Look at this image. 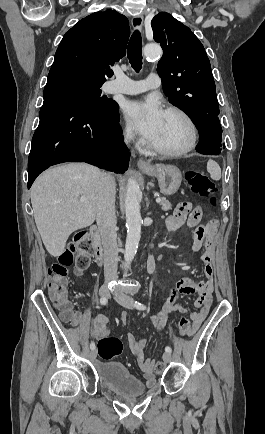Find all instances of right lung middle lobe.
<instances>
[{
    "label": "right lung middle lobe",
    "mask_w": 265,
    "mask_h": 434,
    "mask_svg": "<svg viewBox=\"0 0 265 434\" xmlns=\"http://www.w3.org/2000/svg\"><path fill=\"white\" fill-rule=\"evenodd\" d=\"M103 83L87 76L56 74L48 76L45 89L57 88L65 90L82 102L93 115L112 117L118 111V104L101 96L99 88Z\"/></svg>",
    "instance_id": "dd1d6c3e"
}]
</instances>
